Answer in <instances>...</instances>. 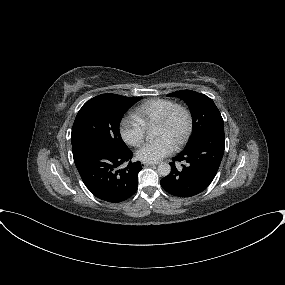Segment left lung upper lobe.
I'll return each instance as SVG.
<instances>
[{"instance_id":"1","label":"left lung upper lobe","mask_w":285,"mask_h":285,"mask_svg":"<svg viewBox=\"0 0 285 285\" xmlns=\"http://www.w3.org/2000/svg\"><path fill=\"white\" fill-rule=\"evenodd\" d=\"M167 96L181 98L189 106L193 120V134L187 147L194 145L212 129L224 128L222 116L208 96L191 90L176 91Z\"/></svg>"}]
</instances>
